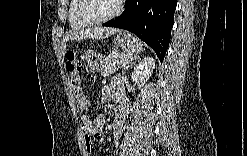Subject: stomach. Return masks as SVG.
Returning <instances> with one entry per match:
<instances>
[{
  "label": "stomach",
  "instance_id": "stomach-1",
  "mask_svg": "<svg viewBox=\"0 0 247 156\" xmlns=\"http://www.w3.org/2000/svg\"><path fill=\"white\" fill-rule=\"evenodd\" d=\"M115 43L122 49V51L129 55L135 56L142 51L141 42L132 34L122 32L115 38ZM84 59L87 65L93 71H100L103 66V57L95 51H87L84 54Z\"/></svg>",
  "mask_w": 247,
  "mask_h": 156
}]
</instances>
